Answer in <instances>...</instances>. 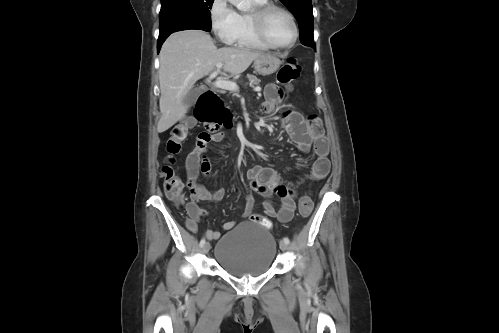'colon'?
<instances>
[{
  "label": "colon",
  "mask_w": 499,
  "mask_h": 333,
  "mask_svg": "<svg viewBox=\"0 0 499 333\" xmlns=\"http://www.w3.org/2000/svg\"><path fill=\"white\" fill-rule=\"evenodd\" d=\"M301 68L295 59H289L278 71L277 79L281 84L290 85L292 84L300 75ZM213 103L216 110V115L214 117V124L208 129L213 132H217L220 127L225 125L230 120V111L225 108L222 101L217 95H213ZM194 125L193 120H186L175 125L170 132V135L166 142L167 158L165 163L161 168V177L164 181V192L166 196L173 201H181L183 196L184 185L181 179L176 174L174 168V155L178 154L182 148V144L188 135L189 129ZM313 210V201L310 196H303L298 205L299 214L302 217H307L311 214ZM190 214V213H189ZM191 220L189 225H193V219L196 218V214H190ZM250 220L256 222L266 229H271V221L258 214H252Z\"/></svg>",
  "instance_id": "colon-1"
}]
</instances>
